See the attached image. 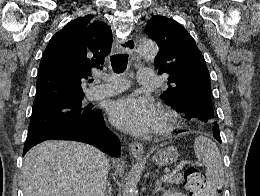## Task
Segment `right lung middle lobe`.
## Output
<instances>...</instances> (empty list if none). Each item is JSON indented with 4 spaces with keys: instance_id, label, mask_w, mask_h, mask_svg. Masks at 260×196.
Returning <instances> with one entry per match:
<instances>
[{
    "instance_id": "dd1d6c3e",
    "label": "right lung middle lobe",
    "mask_w": 260,
    "mask_h": 196,
    "mask_svg": "<svg viewBox=\"0 0 260 196\" xmlns=\"http://www.w3.org/2000/svg\"><path fill=\"white\" fill-rule=\"evenodd\" d=\"M84 94L62 96L52 101L33 105L26 140L83 124L94 117V110L82 106Z\"/></svg>"
}]
</instances>
